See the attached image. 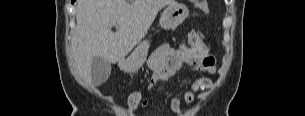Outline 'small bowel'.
<instances>
[{
	"mask_svg": "<svg viewBox=\"0 0 305 116\" xmlns=\"http://www.w3.org/2000/svg\"><path fill=\"white\" fill-rule=\"evenodd\" d=\"M183 65H190L195 70L214 74L216 71L215 59L204 44L197 42L192 46L182 45L178 48L165 43L161 45L148 60V66L152 72L148 81L147 89L155 84L167 81L178 72ZM213 86L211 79L207 77L198 78L182 96L185 103L191 104L195 101L198 91H209ZM147 100H143L142 107H146ZM170 110L174 114L181 112V100L173 97L169 101Z\"/></svg>",
	"mask_w": 305,
	"mask_h": 116,
	"instance_id": "c3829d8e",
	"label": "small bowel"
}]
</instances>
